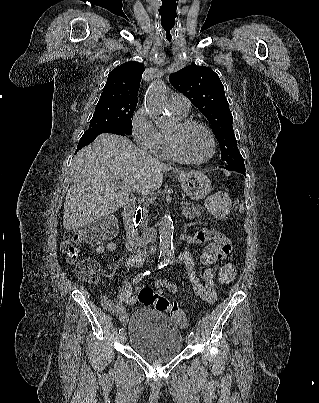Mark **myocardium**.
Returning a JSON list of instances; mask_svg holds the SVG:
<instances>
[{
  "instance_id": "obj_1",
  "label": "myocardium",
  "mask_w": 319,
  "mask_h": 403,
  "mask_svg": "<svg viewBox=\"0 0 319 403\" xmlns=\"http://www.w3.org/2000/svg\"><path fill=\"white\" fill-rule=\"evenodd\" d=\"M193 126H198V127L202 128L208 134V136L210 138V142H211L210 154L202 160H193V159L188 158L183 153V151L181 150V147H180L179 138H178L179 134ZM168 138H169V142H170V146H171L173 155L175 156V158L177 160H179L181 162H184L187 164H192V165H201V164H205V163L211 161L215 156L216 148H217L215 135L212 132V130L210 129V127L202 121H199L196 119H190V118L178 120L176 122L175 132L168 133Z\"/></svg>"
}]
</instances>
